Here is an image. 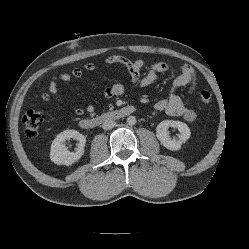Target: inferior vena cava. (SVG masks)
<instances>
[{
  "instance_id": "obj_1",
  "label": "inferior vena cava",
  "mask_w": 249,
  "mask_h": 249,
  "mask_svg": "<svg viewBox=\"0 0 249 249\" xmlns=\"http://www.w3.org/2000/svg\"><path fill=\"white\" fill-rule=\"evenodd\" d=\"M115 125H116V122L112 119H109V120L104 121V123L102 124V128L104 130H110V129L114 128Z\"/></svg>"
}]
</instances>
